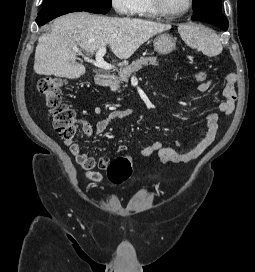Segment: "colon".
<instances>
[{
  "label": "colon",
  "mask_w": 255,
  "mask_h": 272,
  "mask_svg": "<svg viewBox=\"0 0 255 272\" xmlns=\"http://www.w3.org/2000/svg\"><path fill=\"white\" fill-rule=\"evenodd\" d=\"M207 72L200 70L195 74L198 83L206 81ZM66 81L57 76H47L38 83V90L52 116L55 131L65 140H72L78 133L76 116L72 109L62 102L61 95ZM132 172V160L126 156L115 158L107 168V175L114 184H121Z\"/></svg>",
  "instance_id": "obj_1"
}]
</instances>
